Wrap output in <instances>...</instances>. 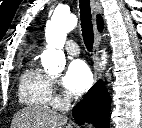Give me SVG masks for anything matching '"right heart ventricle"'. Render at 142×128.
Here are the masks:
<instances>
[{"label":"right heart ventricle","mask_w":142,"mask_h":128,"mask_svg":"<svg viewBox=\"0 0 142 128\" xmlns=\"http://www.w3.org/2000/svg\"><path fill=\"white\" fill-rule=\"evenodd\" d=\"M19 100L31 107H46L51 103L49 77L33 64L28 65L20 77Z\"/></svg>","instance_id":"e07e8e85"}]
</instances>
